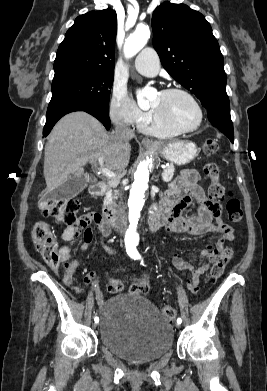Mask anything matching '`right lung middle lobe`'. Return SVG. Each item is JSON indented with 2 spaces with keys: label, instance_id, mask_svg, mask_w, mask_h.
Instances as JSON below:
<instances>
[{
  "label": "right lung middle lobe",
  "instance_id": "obj_1",
  "mask_svg": "<svg viewBox=\"0 0 267 391\" xmlns=\"http://www.w3.org/2000/svg\"><path fill=\"white\" fill-rule=\"evenodd\" d=\"M114 73L67 72L54 76L48 110L69 102L97 106L109 111Z\"/></svg>",
  "mask_w": 267,
  "mask_h": 391
}]
</instances>
